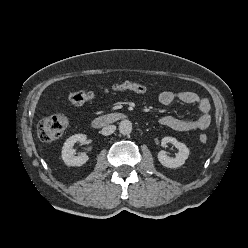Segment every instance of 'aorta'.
Returning <instances> with one entry per match:
<instances>
[{"label": "aorta", "instance_id": "762f6f07", "mask_svg": "<svg viewBox=\"0 0 248 248\" xmlns=\"http://www.w3.org/2000/svg\"><path fill=\"white\" fill-rule=\"evenodd\" d=\"M132 131V123L130 120L124 119L119 123V132L122 135H128Z\"/></svg>", "mask_w": 248, "mask_h": 248}]
</instances>
